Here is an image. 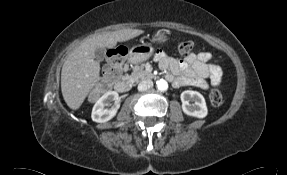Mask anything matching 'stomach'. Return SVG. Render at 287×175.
I'll return each instance as SVG.
<instances>
[{
  "label": "stomach",
  "mask_w": 287,
  "mask_h": 175,
  "mask_svg": "<svg viewBox=\"0 0 287 175\" xmlns=\"http://www.w3.org/2000/svg\"><path fill=\"white\" fill-rule=\"evenodd\" d=\"M167 39V34L163 30H158L152 35L154 42H164ZM153 54V48L148 43H143L132 47L129 51L128 59L131 63H140L149 59Z\"/></svg>",
  "instance_id": "obj_1"
}]
</instances>
